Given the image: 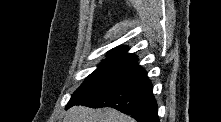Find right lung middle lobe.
Instances as JSON below:
<instances>
[{"label":"right lung middle lobe","instance_id":"1","mask_svg":"<svg viewBox=\"0 0 221 122\" xmlns=\"http://www.w3.org/2000/svg\"><path fill=\"white\" fill-rule=\"evenodd\" d=\"M138 65L134 60L106 59L75 91L67 106L100 93L120 82Z\"/></svg>","mask_w":221,"mask_h":122}]
</instances>
